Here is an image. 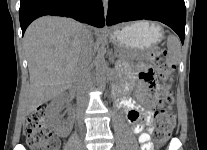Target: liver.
Instances as JSON below:
<instances>
[{"instance_id": "obj_1", "label": "liver", "mask_w": 207, "mask_h": 150, "mask_svg": "<svg viewBox=\"0 0 207 150\" xmlns=\"http://www.w3.org/2000/svg\"><path fill=\"white\" fill-rule=\"evenodd\" d=\"M92 28L70 18L44 16L26 30L24 47L30 85L25 97L26 114L62 94L73 83L83 35Z\"/></svg>"}]
</instances>
